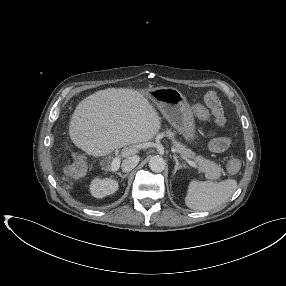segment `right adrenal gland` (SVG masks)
<instances>
[{
	"instance_id": "2a0ac1e0",
	"label": "right adrenal gland",
	"mask_w": 286,
	"mask_h": 286,
	"mask_svg": "<svg viewBox=\"0 0 286 286\" xmlns=\"http://www.w3.org/2000/svg\"><path fill=\"white\" fill-rule=\"evenodd\" d=\"M121 178H126L127 176H128V174H121L120 172L119 173H117Z\"/></svg>"
}]
</instances>
